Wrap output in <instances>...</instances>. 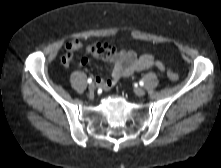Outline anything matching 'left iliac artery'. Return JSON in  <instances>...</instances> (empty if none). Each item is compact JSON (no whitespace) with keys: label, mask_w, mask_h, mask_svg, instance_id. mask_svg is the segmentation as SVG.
<instances>
[{"label":"left iliac artery","mask_w":221,"mask_h":168,"mask_svg":"<svg viewBox=\"0 0 221 168\" xmlns=\"http://www.w3.org/2000/svg\"><path fill=\"white\" fill-rule=\"evenodd\" d=\"M139 84H140V86H143V85H144V82H143V81H140Z\"/></svg>","instance_id":"obj_1"}]
</instances>
